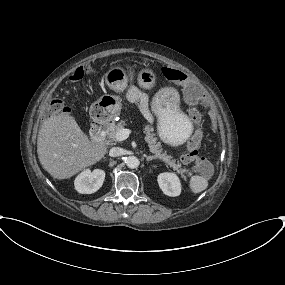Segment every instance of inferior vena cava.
<instances>
[{
    "label": "inferior vena cava",
    "instance_id": "inferior-vena-cava-1",
    "mask_svg": "<svg viewBox=\"0 0 285 285\" xmlns=\"http://www.w3.org/2000/svg\"><path fill=\"white\" fill-rule=\"evenodd\" d=\"M124 154V149L120 148V147H113L110 149L109 151V155L111 157H118Z\"/></svg>",
    "mask_w": 285,
    "mask_h": 285
}]
</instances>
